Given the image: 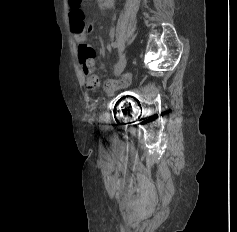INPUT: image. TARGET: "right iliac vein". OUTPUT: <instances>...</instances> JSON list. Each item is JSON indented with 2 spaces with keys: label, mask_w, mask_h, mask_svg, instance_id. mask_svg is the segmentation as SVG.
I'll return each instance as SVG.
<instances>
[{
  "label": "right iliac vein",
  "mask_w": 237,
  "mask_h": 232,
  "mask_svg": "<svg viewBox=\"0 0 237 232\" xmlns=\"http://www.w3.org/2000/svg\"><path fill=\"white\" fill-rule=\"evenodd\" d=\"M125 66H126V58H125V56H123L119 60L117 66H116L115 75L119 76L123 72V70L125 69Z\"/></svg>",
  "instance_id": "obj_1"
}]
</instances>
